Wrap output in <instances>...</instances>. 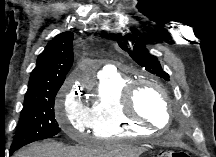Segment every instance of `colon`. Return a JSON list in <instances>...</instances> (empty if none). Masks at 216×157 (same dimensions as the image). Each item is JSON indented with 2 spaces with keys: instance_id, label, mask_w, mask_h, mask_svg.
<instances>
[{
  "instance_id": "colon-1",
  "label": "colon",
  "mask_w": 216,
  "mask_h": 157,
  "mask_svg": "<svg viewBox=\"0 0 216 157\" xmlns=\"http://www.w3.org/2000/svg\"><path fill=\"white\" fill-rule=\"evenodd\" d=\"M159 157H188V153L184 150H166L162 151Z\"/></svg>"
}]
</instances>
